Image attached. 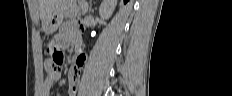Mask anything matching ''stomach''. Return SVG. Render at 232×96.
Returning a JSON list of instances; mask_svg holds the SVG:
<instances>
[{
    "instance_id": "0dacf381",
    "label": "stomach",
    "mask_w": 232,
    "mask_h": 96,
    "mask_svg": "<svg viewBox=\"0 0 232 96\" xmlns=\"http://www.w3.org/2000/svg\"><path fill=\"white\" fill-rule=\"evenodd\" d=\"M75 2V0L57 1L56 5L52 8L51 12L44 20L42 25L43 31L48 35L54 33L61 25L64 13L68 10L69 6H72Z\"/></svg>"
}]
</instances>
